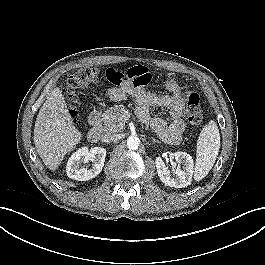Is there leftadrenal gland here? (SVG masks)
I'll return each mask as SVG.
<instances>
[{
  "mask_svg": "<svg viewBox=\"0 0 265 265\" xmlns=\"http://www.w3.org/2000/svg\"><path fill=\"white\" fill-rule=\"evenodd\" d=\"M152 139V141H154V142H156V143H160L161 144V142L159 141V140H157V139H155V138H151Z\"/></svg>",
  "mask_w": 265,
  "mask_h": 265,
  "instance_id": "left-adrenal-gland-1",
  "label": "left adrenal gland"
}]
</instances>
